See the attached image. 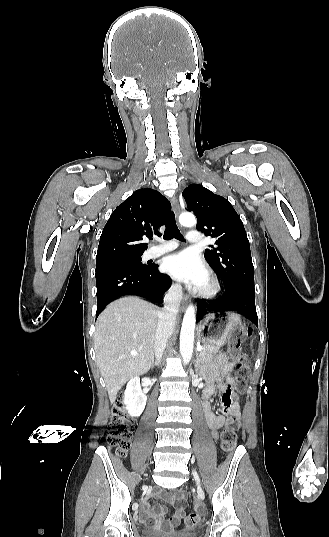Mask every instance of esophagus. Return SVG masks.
Masks as SVG:
<instances>
[{"instance_id": "34e87169", "label": "esophagus", "mask_w": 329, "mask_h": 537, "mask_svg": "<svg viewBox=\"0 0 329 537\" xmlns=\"http://www.w3.org/2000/svg\"><path fill=\"white\" fill-rule=\"evenodd\" d=\"M171 204H172V208L174 210V213H175L176 217H178L179 214H180V206H179V202H178V200H177V198L175 196L172 197ZM186 304H187V296H184V298L182 300V308L183 309L185 308Z\"/></svg>"}]
</instances>
